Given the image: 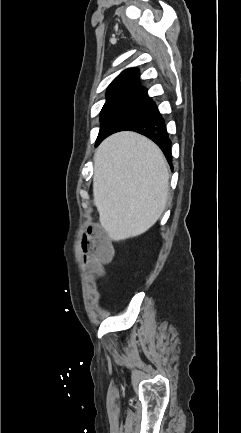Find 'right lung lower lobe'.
Returning a JSON list of instances; mask_svg holds the SVG:
<instances>
[{"label": "right lung lower lobe", "mask_w": 241, "mask_h": 433, "mask_svg": "<svg viewBox=\"0 0 241 433\" xmlns=\"http://www.w3.org/2000/svg\"><path fill=\"white\" fill-rule=\"evenodd\" d=\"M124 130L135 131L152 139L161 148L171 165V141L167 134L164 119L154 102L121 131Z\"/></svg>", "instance_id": "right-lung-lower-lobe-1"}]
</instances>
